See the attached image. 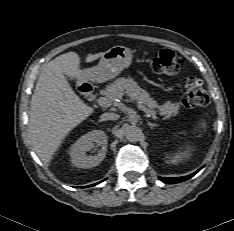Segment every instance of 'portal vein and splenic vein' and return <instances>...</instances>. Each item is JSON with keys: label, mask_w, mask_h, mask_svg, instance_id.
<instances>
[{"label": "portal vein and splenic vein", "mask_w": 234, "mask_h": 231, "mask_svg": "<svg viewBox=\"0 0 234 231\" xmlns=\"http://www.w3.org/2000/svg\"><path fill=\"white\" fill-rule=\"evenodd\" d=\"M132 101H134V100H132ZM97 102H98V104H99L100 106H102V107H109V106L112 105V101H111L110 99L106 98V97H100V98H98V99H97ZM136 105H137V107H138L140 110L144 111L147 115L152 116L153 118H156V117H157L156 111L149 110L148 108L142 106V105L139 104V103H136Z\"/></svg>", "instance_id": "obj_1"}]
</instances>
